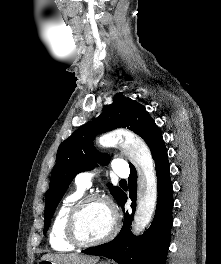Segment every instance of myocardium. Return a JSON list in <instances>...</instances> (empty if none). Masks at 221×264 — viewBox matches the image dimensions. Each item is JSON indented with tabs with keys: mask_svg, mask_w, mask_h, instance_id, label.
<instances>
[{
	"mask_svg": "<svg viewBox=\"0 0 221 264\" xmlns=\"http://www.w3.org/2000/svg\"><path fill=\"white\" fill-rule=\"evenodd\" d=\"M90 202H99L106 205L112 215V223L109 232L102 238L94 241L82 239L78 232V220L83 208ZM119 216L113 204L105 197L96 194H87L80 197L70 208L66 223L65 233L68 241L77 247H94L110 241L118 232Z\"/></svg>",
	"mask_w": 221,
	"mask_h": 264,
	"instance_id": "f54148a6",
	"label": "myocardium"
}]
</instances>
